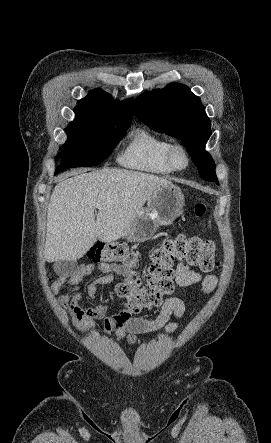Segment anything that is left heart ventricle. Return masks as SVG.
Masks as SVG:
<instances>
[{"instance_id": "1", "label": "left heart ventricle", "mask_w": 271, "mask_h": 443, "mask_svg": "<svg viewBox=\"0 0 271 443\" xmlns=\"http://www.w3.org/2000/svg\"><path fill=\"white\" fill-rule=\"evenodd\" d=\"M176 161H177V164L181 167H184L187 165V158L181 150L177 151V153H176Z\"/></svg>"}]
</instances>
